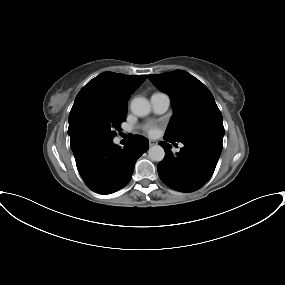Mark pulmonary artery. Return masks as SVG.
<instances>
[{
  "instance_id": "e3ab8cb5",
  "label": "pulmonary artery",
  "mask_w": 285,
  "mask_h": 285,
  "mask_svg": "<svg viewBox=\"0 0 285 285\" xmlns=\"http://www.w3.org/2000/svg\"><path fill=\"white\" fill-rule=\"evenodd\" d=\"M150 101L153 111L157 114L166 112L170 106V97L166 93H154L151 96Z\"/></svg>"
}]
</instances>
